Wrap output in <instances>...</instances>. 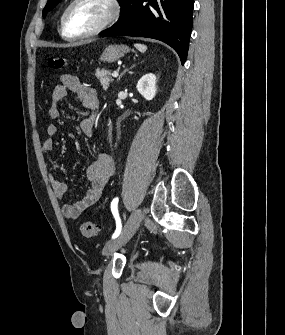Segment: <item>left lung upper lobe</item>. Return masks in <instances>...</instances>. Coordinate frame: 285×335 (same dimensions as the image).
Segmentation results:
<instances>
[{
    "instance_id": "5c2ea615",
    "label": "left lung upper lobe",
    "mask_w": 285,
    "mask_h": 335,
    "mask_svg": "<svg viewBox=\"0 0 285 335\" xmlns=\"http://www.w3.org/2000/svg\"><path fill=\"white\" fill-rule=\"evenodd\" d=\"M60 0H48L47 4H46V7L44 8L43 10V17L45 18L46 14L54 8V6L59 2ZM120 3L123 1V0H118Z\"/></svg>"
}]
</instances>
